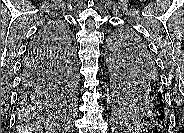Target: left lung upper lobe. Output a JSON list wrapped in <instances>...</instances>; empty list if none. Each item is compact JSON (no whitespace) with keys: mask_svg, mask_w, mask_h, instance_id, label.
I'll list each match as a JSON object with an SVG mask.
<instances>
[{"mask_svg":"<svg viewBox=\"0 0 184 133\" xmlns=\"http://www.w3.org/2000/svg\"><path fill=\"white\" fill-rule=\"evenodd\" d=\"M108 67L111 99L118 114L135 124L155 123L153 117L160 110L168 115L167 104L154 106L150 89H159V72L148 47L135 32L120 29L111 36Z\"/></svg>","mask_w":184,"mask_h":133,"instance_id":"5c2ea615","label":"left lung upper lobe"}]
</instances>
